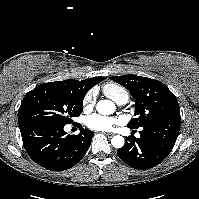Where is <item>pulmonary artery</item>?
<instances>
[{"label":"pulmonary artery","mask_w":199,"mask_h":199,"mask_svg":"<svg viewBox=\"0 0 199 199\" xmlns=\"http://www.w3.org/2000/svg\"><path fill=\"white\" fill-rule=\"evenodd\" d=\"M119 105H123V104H125L126 102H127V100L126 99H120V100H118V101H116Z\"/></svg>","instance_id":"pulmonary-artery-1"}]
</instances>
